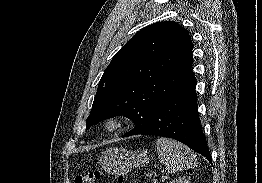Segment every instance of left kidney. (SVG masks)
I'll return each instance as SVG.
<instances>
[{"mask_svg": "<svg viewBox=\"0 0 262 183\" xmlns=\"http://www.w3.org/2000/svg\"><path fill=\"white\" fill-rule=\"evenodd\" d=\"M190 180H191L190 177L183 176L176 180H172L169 183H190Z\"/></svg>", "mask_w": 262, "mask_h": 183, "instance_id": "left-kidney-1", "label": "left kidney"}]
</instances>
